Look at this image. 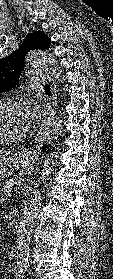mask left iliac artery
<instances>
[{
	"label": "left iliac artery",
	"mask_w": 113,
	"mask_h": 279,
	"mask_svg": "<svg viewBox=\"0 0 113 279\" xmlns=\"http://www.w3.org/2000/svg\"><path fill=\"white\" fill-rule=\"evenodd\" d=\"M17 276H18V279H23L24 274L22 273V270L18 271Z\"/></svg>",
	"instance_id": "1"
}]
</instances>
